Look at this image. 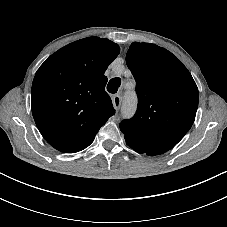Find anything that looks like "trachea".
I'll return each mask as SVG.
<instances>
[{"mask_svg": "<svg viewBox=\"0 0 227 227\" xmlns=\"http://www.w3.org/2000/svg\"><path fill=\"white\" fill-rule=\"evenodd\" d=\"M120 85H121V79L119 77H114L109 81L107 85V90L108 92L114 94L118 91V88Z\"/></svg>", "mask_w": 227, "mask_h": 227, "instance_id": "1", "label": "trachea"}]
</instances>
